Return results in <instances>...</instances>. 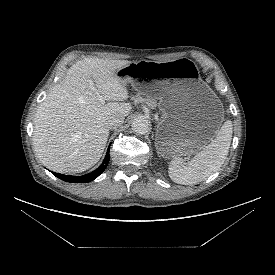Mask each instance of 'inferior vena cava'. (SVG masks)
Here are the masks:
<instances>
[{
  "mask_svg": "<svg viewBox=\"0 0 275 275\" xmlns=\"http://www.w3.org/2000/svg\"><path fill=\"white\" fill-rule=\"evenodd\" d=\"M124 122V117L120 114H112L107 118L106 126L108 129H115L122 125Z\"/></svg>",
  "mask_w": 275,
  "mask_h": 275,
  "instance_id": "obj_1",
  "label": "inferior vena cava"
}]
</instances>
